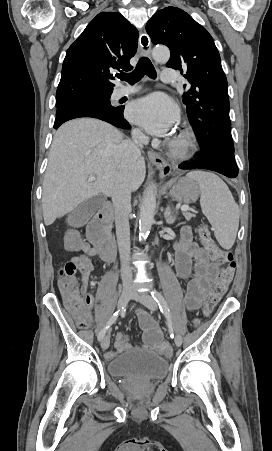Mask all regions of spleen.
Listing matches in <instances>:
<instances>
[{"label": "spleen", "mask_w": 272, "mask_h": 451, "mask_svg": "<svg viewBox=\"0 0 272 451\" xmlns=\"http://www.w3.org/2000/svg\"><path fill=\"white\" fill-rule=\"evenodd\" d=\"M187 178L199 184L201 210L224 249H231L237 235L240 212L227 184L211 172H189Z\"/></svg>", "instance_id": "spleen-1"}]
</instances>
